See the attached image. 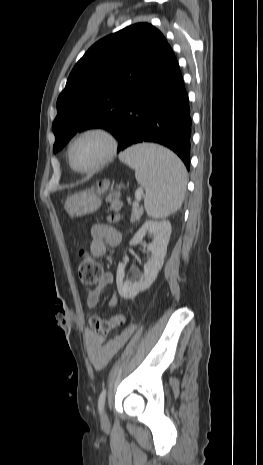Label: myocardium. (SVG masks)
Returning a JSON list of instances; mask_svg holds the SVG:
<instances>
[{
    "label": "myocardium",
    "mask_w": 263,
    "mask_h": 465,
    "mask_svg": "<svg viewBox=\"0 0 263 465\" xmlns=\"http://www.w3.org/2000/svg\"><path fill=\"white\" fill-rule=\"evenodd\" d=\"M91 134H97L105 138L106 141L108 142V151L106 155L95 166L88 168V169H79L73 163L72 148L79 139L87 135H91ZM117 150H118V140L115 134L108 128L101 127V126H93V127H88V128L83 129L71 139V141L69 142L68 148H67V158H68L70 167L75 172L80 173V174H92V173H95L101 170L103 167L109 164L115 158L117 154Z\"/></svg>",
    "instance_id": "f54148a6"
}]
</instances>
